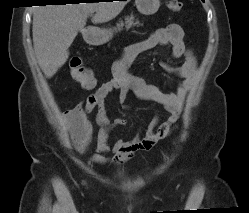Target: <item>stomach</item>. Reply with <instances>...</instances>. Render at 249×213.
<instances>
[{"instance_id":"obj_1","label":"stomach","mask_w":249,"mask_h":213,"mask_svg":"<svg viewBox=\"0 0 249 213\" xmlns=\"http://www.w3.org/2000/svg\"><path fill=\"white\" fill-rule=\"evenodd\" d=\"M135 4L141 14L152 15L158 11L160 0H135ZM112 36V29H96L86 37V41L92 45H102Z\"/></svg>"}]
</instances>
